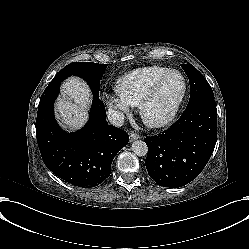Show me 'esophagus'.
Listing matches in <instances>:
<instances>
[{
  "label": "esophagus",
  "instance_id": "34e87169",
  "mask_svg": "<svg viewBox=\"0 0 249 249\" xmlns=\"http://www.w3.org/2000/svg\"><path fill=\"white\" fill-rule=\"evenodd\" d=\"M139 138H140V136L138 134H136V133H130L129 134L130 141H134V140H137Z\"/></svg>",
  "mask_w": 249,
  "mask_h": 249
}]
</instances>
